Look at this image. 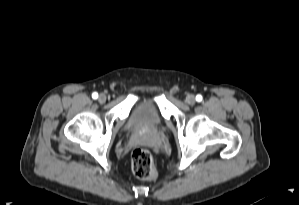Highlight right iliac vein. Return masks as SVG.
<instances>
[{
	"instance_id": "right-iliac-vein-1",
	"label": "right iliac vein",
	"mask_w": 299,
	"mask_h": 205,
	"mask_svg": "<svg viewBox=\"0 0 299 205\" xmlns=\"http://www.w3.org/2000/svg\"><path fill=\"white\" fill-rule=\"evenodd\" d=\"M98 101H99V103H105V101H106V95L105 94H100L99 95V97H98Z\"/></svg>"
}]
</instances>
